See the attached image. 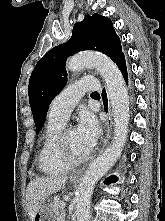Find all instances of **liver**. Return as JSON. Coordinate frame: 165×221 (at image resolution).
<instances>
[{
	"instance_id": "obj_1",
	"label": "liver",
	"mask_w": 165,
	"mask_h": 221,
	"mask_svg": "<svg viewBox=\"0 0 165 221\" xmlns=\"http://www.w3.org/2000/svg\"><path fill=\"white\" fill-rule=\"evenodd\" d=\"M67 176L40 177L30 181L26 190L27 212L31 221H34L37 211L45 199L64 188Z\"/></svg>"
}]
</instances>
